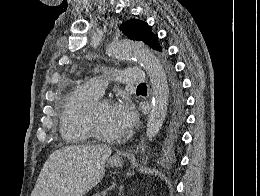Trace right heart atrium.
<instances>
[{
  "label": "right heart atrium",
  "instance_id": "d8ad5b80",
  "mask_svg": "<svg viewBox=\"0 0 260 196\" xmlns=\"http://www.w3.org/2000/svg\"><path fill=\"white\" fill-rule=\"evenodd\" d=\"M127 163V162H126ZM74 190H56V192H73Z\"/></svg>",
  "mask_w": 260,
  "mask_h": 196
}]
</instances>
